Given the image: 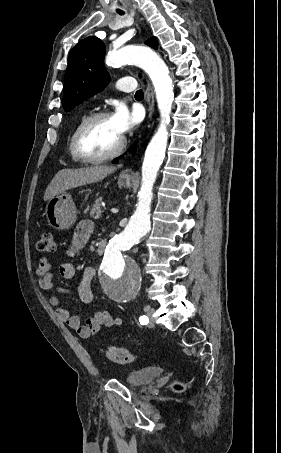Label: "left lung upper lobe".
<instances>
[{"instance_id":"left-lung-upper-lobe-1","label":"left lung upper lobe","mask_w":281,"mask_h":453,"mask_svg":"<svg viewBox=\"0 0 281 453\" xmlns=\"http://www.w3.org/2000/svg\"><path fill=\"white\" fill-rule=\"evenodd\" d=\"M146 44L157 49L155 38L149 39ZM104 55L103 42L93 36L81 40L70 51L63 95L65 111L72 110L108 84L109 76L103 66Z\"/></svg>"}]
</instances>
